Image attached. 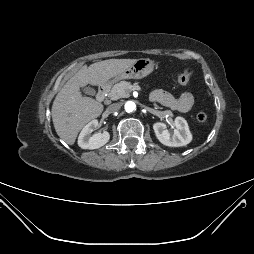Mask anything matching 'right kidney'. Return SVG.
<instances>
[{
  "mask_svg": "<svg viewBox=\"0 0 254 254\" xmlns=\"http://www.w3.org/2000/svg\"><path fill=\"white\" fill-rule=\"evenodd\" d=\"M98 127V120H92L81 131L78 137V145L82 149H97L105 145L110 135L107 131L102 133H96L92 135V132Z\"/></svg>",
  "mask_w": 254,
  "mask_h": 254,
  "instance_id": "right-kidney-1",
  "label": "right kidney"
}]
</instances>
